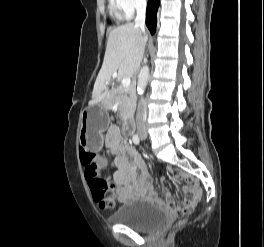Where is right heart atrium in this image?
Listing matches in <instances>:
<instances>
[{
	"label": "right heart atrium",
	"mask_w": 264,
	"mask_h": 247,
	"mask_svg": "<svg viewBox=\"0 0 264 247\" xmlns=\"http://www.w3.org/2000/svg\"><path fill=\"white\" fill-rule=\"evenodd\" d=\"M113 4L126 17H130L146 5V0H113Z\"/></svg>",
	"instance_id": "right-heart-atrium-1"
}]
</instances>
